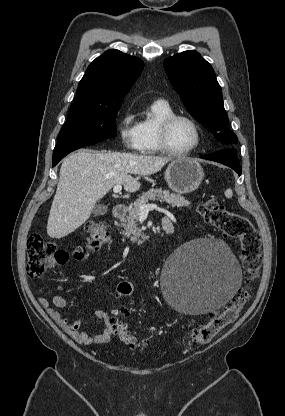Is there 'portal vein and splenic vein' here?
Masks as SVG:
<instances>
[{
    "label": "portal vein and splenic vein",
    "instance_id": "obj_1",
    "mask_svg": "<svg viewBox=\"0 0 285 416\" xmlns=\"http://www.w3.org/2000/svg\"><path fill=\"white\" fill-rule=\"evenodd\" d=\"M121 190L122 186H114L113 188L114 194H119ZM150 210H159V208L156 204H143V206H140V216H146V214H149Z\"/></svg>",
    "mask_w": 285,
    "mask_h": 416
}]
</instances>
